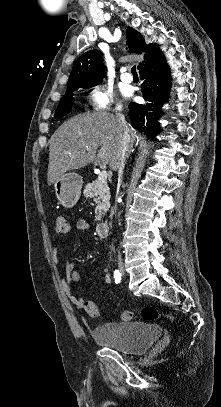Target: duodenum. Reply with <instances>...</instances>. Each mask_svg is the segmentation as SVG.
I'll return each instance as SVG.
<instances>
[{
    "label": "duodenum",
    "mask_w": 221,
    "mask_h": 407,
    "mask_svg": "<svg viewBox=\"0 0 221 407\" xmlns=\"http://www.w3.org/2000/svg\"><path fill=\"white\" fill-rule=\"evenodd\" d=\"M110 229V225L108 223L102 222L97 225V233L99 236H107Z\"/></svg>",
    "instance_id": "1"
}]
</instances>
